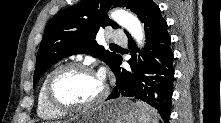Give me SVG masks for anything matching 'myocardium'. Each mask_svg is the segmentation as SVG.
Returning <instances> with one entry per match:
<instances>
[{"mask_svg":"<svg viewBox=\"0 0 221 123\" xmlns=\"http://www.w3.org/2000/svg\"><path fill=\"white\" fill-rule=\"evenodd\" d=\"M71 69L84 70V71H88V72L99 75L90 64H86L83 62L72 61V62H67L62 65H59L58 67H56L49 73L47 80H46L45 95H46V99L48 103L53 108L64 113L86 111V110H91L100 106L105 101L108 95V85L106 81L104 80V78L101 77L100 75L99 76L101 77L103 81V88H102L100 95L95 100L88 102V103H83V104H69V103L62 102L61 100L57 98V96L54 93L55 80L59 74H61L64 71L71 70Z\"/></svg>","mask_w":221,"mask_h":123,"instance_id":"myocardium-1","label":"myocardium"}]
</instances>
